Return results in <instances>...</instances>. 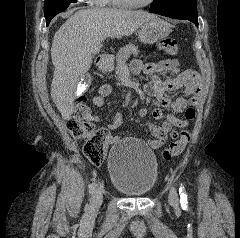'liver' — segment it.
<instances>
[{
  "instance_id": "6515ba94",
  "label": "liver",
  "mask_w": 240,
  "mask_h": 238,
  "mask_svg": "<svg viewBox=\"0 0 240 238\" xmlns=\"http://www.w3.org/2000/svg\"><path fill=\"white\" fill-rule=\"evenodd\" d=\"M157 19L144 11L108 8L79 10L69 16L55 33L51 47V97L63 119L68 120L74 111L79 80L92 64L91 49L109 37L132 35L145 23Z\"/></svg>"
}]
</instances>
